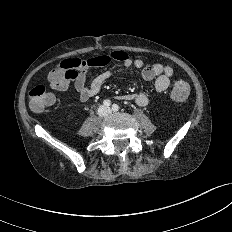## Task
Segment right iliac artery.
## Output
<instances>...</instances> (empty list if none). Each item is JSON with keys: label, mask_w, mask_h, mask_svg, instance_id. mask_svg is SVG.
<instances>
[{"label": "right iliac artery", "mask_w": 232, "mask_h": 232, "mask_svg": "<svg viewBox=\"0 0 232 232\" xmlns=\"http://www.w3.org/2000/svg\"><path fill=\"white\" fill-rule=\"evenodd\" d=\"M103 104L107 107H109L111 105L110 100H104Z\"/></svg>", "instance_id": "right-iliac-artery-1"}]
</instances>
